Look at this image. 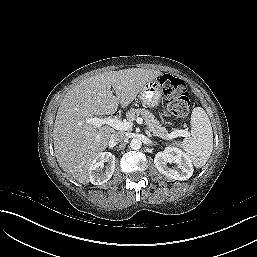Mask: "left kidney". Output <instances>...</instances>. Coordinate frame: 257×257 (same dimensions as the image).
I'll return each mask as SVG.
<instances>
[{
  "label": "left kidney",
  "mask_w": 257,
  "mask_h": 257,
  "mask_svg": "<svg viewBox=\"0 0 257 257\" xmlns=\"http://www.w3.org/2000/svg\"><path fill=\"white\" fill-rule=\"evenodd\" d=\"M176 164L169 167L168 164ZM154 164L158 171L174 180H187L193 174V165L190 159L178 148L167 147L155 155Z\"/></svg>",
  "instance_id": "obj_1"
}]
</instances>
